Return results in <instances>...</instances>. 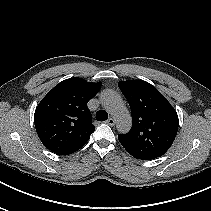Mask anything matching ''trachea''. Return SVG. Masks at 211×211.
<instances>
[{
  "label": "trachea",
  "mask_w": 211,
  "mask_h": 211,
  "mask_svg": "<svg viewBox=\"0 0 211 211\" xmlns=\"http://www.w3.org/2000/svg\"><path fill=\"white\" fill-rule=\"evenodd\" d=\"M96 118L98 121H105L108 118V114L104 110H99L96 114Z\"/></svg>",
  "instance_id": "obj_1"
}]
</instances>
